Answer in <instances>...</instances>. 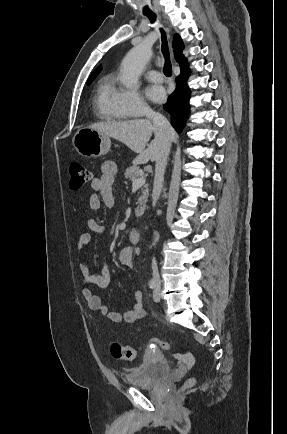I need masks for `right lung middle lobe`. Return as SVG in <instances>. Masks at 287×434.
Returning a JSON list of instances; mask_svg holds the SVG:
<instances>
[{
    "label": "right lung middle lobe",
    "instance_id": "right-lung-middle-lobe-1",
    "mask_svg": "<svg viewBox=\"0 0 287 434\" xmlns=\"http://www.w3.org/2000/svg\"><path fill=\"white\" fill-rule=\"evenodd\" d=\"M92 83V81H90V82H87V85H89V84H91Z\"/></svg>",
    "mask_w": 287,
    "mask_h": 434
}]
</instances>
